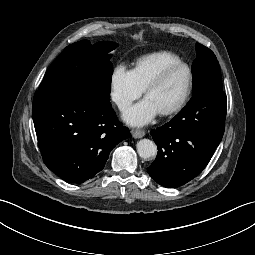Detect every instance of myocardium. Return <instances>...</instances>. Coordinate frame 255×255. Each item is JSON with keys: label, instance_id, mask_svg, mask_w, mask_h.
<instances>
[{"label": "myocardium", "instance_id": "myocardium-1", "mask_svg": "<svg viewBox=\"0 0 255 255\" xmlns=\"http://www.w3.org/2000/svg\"><path fill=\"white\" fill-rule=\"evenodd\" d=\"M179 67L184 68L187 72V75H188L187 89H186L184 96L177 104H175L174 106L167 108L165 110L159 111V113L163 116H168V115H172V114H176V113L180 112L188 103V101L191 97L192 91H193V73H192L190 66L187 63L180 61V60L176 61V62H172V63L166 65L164 68H162V70H160V72L144 88V96L146 97V95L151 90L156 88L164 80V78L167 76V74L170 71H172L175 68H179Z\"/></svg>", "mask_w": 255, "mask_h": 255}]
</instances>
